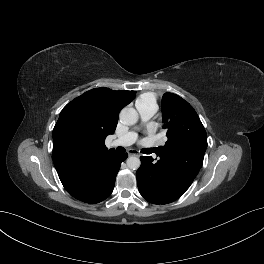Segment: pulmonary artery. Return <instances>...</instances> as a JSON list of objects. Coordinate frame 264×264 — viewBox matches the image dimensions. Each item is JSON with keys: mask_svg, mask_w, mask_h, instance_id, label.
Segmentation results:
<instances>
[{"mask_svg": "<svg viewBox=\"0 0 264 264\" xmlns=\"http://www.w3.org/2000/svg\"><path fill=\"white\" fill-rule=\"evenodd\" d=\"M137 110L140 114V117L143 121L150 119L156 112V108L153 106H138ZM137 134L135 132H128L125 135L115 139L112 142V146H130L135 142Z\"/></svg>", "mask_w": 264, "mask_h": 264, "instance_id": "1", "label": "pulmonary artery"}]
</instances>
